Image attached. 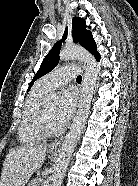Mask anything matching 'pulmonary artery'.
Listing matches in <instances>:
<instances>
[{"label": "pulmonary artery", "mask_w": 138, "mask_h": 186, "mask_svg": "<svg viewBox=\"0 0 138 186\" xmlns=\"http://www.w3.org/2000/svg\"><path fill=\"white\" fill-rule=\"evenodd\" d=\"M80 71L79 66H64L45 75L40 81L47 90L51 91L76 78Z\"/></svg>", "instance_id": "obj_1"}]
</instances>
